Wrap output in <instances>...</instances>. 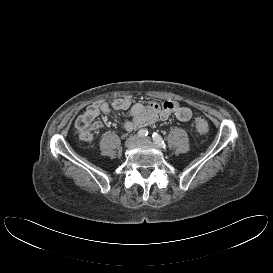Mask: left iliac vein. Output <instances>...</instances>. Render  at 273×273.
Masks as SVG:
<instances>
[{"label": "left iliac vein", "instance_id": "left-iliac-vein-1", "mask_svg": "<svg viewBox=\"0 0 273 273\" xmlns=\"http://www.w3.org/2000/svg\"><path fill=\"white\" fill-rule=\"evenodd\" d=\"M150 141H151V139L149 137L138 139V142H150Z\"/></svg>", "mask_w": 273, "mask_h": 273}]
</instances>
